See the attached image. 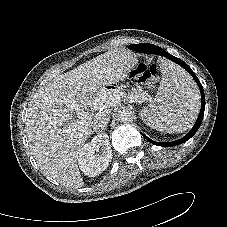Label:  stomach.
Returning <instances> with one entry per match:
<instances>
[{
  "instance_id": "obj_1",
  "label": "stomach",
  "mask_w": 227,
  "mask_h": 227,
  "mask_svg": "<svg viewBox=\"0 0 227 227\" xmlns=\"http://www.w3.org/2000/svg\"><path fill=\"white\" fill-rule=\"evenodd\" d=\"M106 90L108 92H110L112 95H114L116 98L120 97V92H119V89L117 88V86L109 85L106 87Z\"/></svg>"
}]
</instances>
